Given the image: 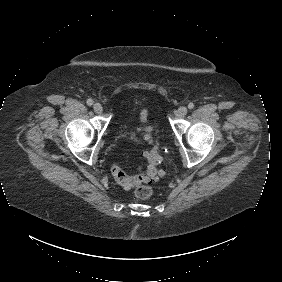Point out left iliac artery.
<instances>
[{
	"instance_id": "left-iliac-artery-1",
	"label": "left iliac artery",
	"mask_w": 282,
	"mask_h": 282,
	"mask_svg": "<svg viewBox=\"0 0 282 282\" xmlns=\"http://www.w3.org/2000/svg\"><path fill=\"white\" fill-rule=\"evenodd\" d=\"M188 108H189V109H193V108H194V104H193L192 102L189 103V104H188Z\"/></svg>"
}]
</instances>
